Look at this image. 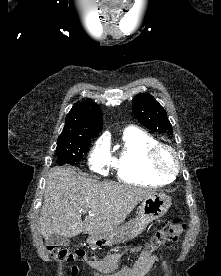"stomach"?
<instances>
[{
	"label": "stomach",
	"mask_w": 221,
	"mask_h": 276,
	"mask_svg": "<svg viewBox=\"0 0 221 276\" xmlns=\"http://www.w3.org/2000/svg\"><path fill=\"white\" fill-rule=\"evenodd\" d=\"M170 205L171 198L169 196L162 193L150 195L143 199L135 218L113 232L90 235L87 242L95 247L112 246L127 242L140 235L151 221L163 217Z\"/></svg>",
	"instance_id": "obj_1"
}]
</instances>
